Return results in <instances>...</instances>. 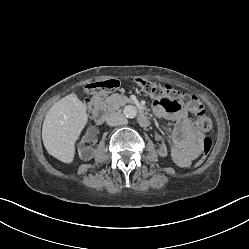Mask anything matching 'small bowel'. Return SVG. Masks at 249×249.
<instances>
[{"instance_id": "1", "label": "small bowel", "mask_w": 249, "mask_h": 249, "mask_svg": "<svg viewBox=\"0 0 249 249\" xmlns=\"http://www.w3.org/2000/svg\"><path fill=\"white\" fill-rule=\"evenodd\" d=\"M169 109L160 100H156L153 105L156 116L175 121L170 134L173 157L180 167H187L198 149L202 147L204 136L178 101L171 100Z\"/></svg>"}]
</instances>
